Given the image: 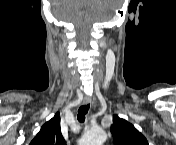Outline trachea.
<instances>
[{
    "instance_id": "obj_1",
    "label": "trachea",
    "mask_w": 176,
    "mask_h": 145,
    "mask_svg": "<svg viewBox=\"0 0 176 145\" xmlns=\"http://www.w3.org/2000/svg\"><path fill=\"white\" fill-rule=\"evenodd\" d=\"M89 104L82 105L78 110L77 119L79 122H84L85 116L89 110Z\"/></svg>"
}]
</instances>
